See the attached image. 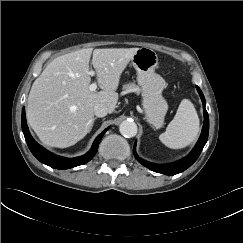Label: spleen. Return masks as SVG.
<instances>
[{
    "instance_id": "3e777b00",
    "label": "spleen",
    "mask_w": 243,
    "mask_h": 243,
    "mask_svg": "<svg viewBox=\"0 0 243 243\" xmlns=\"http://www.w3.org/2000/svg\"><path fill=\"white\" fill-rule=\"evenodd\" d=\"M198 132L199 118L194 105L188 99H183L174 119L159 139L169 148L181 149L194 142Z\"/></svg>"
}]
</instances>
